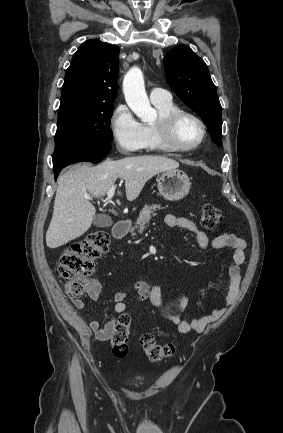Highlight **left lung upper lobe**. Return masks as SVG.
I'll list each match as a JSON object with an SVG mask.
<instances>
[{
	"label": "left lung upper lobe",
	"instance_id": "5c2ea615",
	"mask_svg": "<svg viewBox=\"0 0 283 433\" xmlns=\"http://www.w3.org/2000/svg\"><path fill=\"white\" fill-rule=\"evenodd\" d=\"M164 69L172 90L202 118L214 143L222 145L221 105L205 62L178 45L166 54Z\"/></svg>",
	"mask_w": 283,
	"mask_h": 433
}]
</instances>
